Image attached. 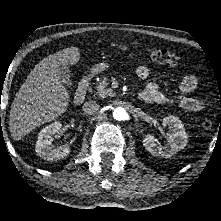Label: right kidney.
<instances>
[{"label":"right kidney","mask_w":221,"mask_h":221,"mask_svg":"<svg viewBox=\"0 0 221 221\" xmlns=\"http://www.w3.org/2000/svg\"><path fill=\"white\" fill-rule=\"evenodd\" d=\"M62 124L55 121L42 129L38 135L35 151L44 160L53 161L60 160L69 155L70 147L67 145L55 148L52 145L53 135L59 133L62 129Z\"/></svg>","instance_id":"obj_1"}]
</instances>
